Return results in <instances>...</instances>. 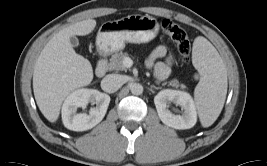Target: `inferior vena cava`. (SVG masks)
<instances>
[{"label": "inferior vena cava", "mask_w": 267, "mask_h": 166, "mask_svg": "<svg viewBox=\"0 0 267 166\" xmlns=\"http://www.w3.org/2000/svg\"><path fill=\"white\" fill-rule=\"evenodd\" d=\"M125 83L124 77L119 74H108L101 81V88L107 93L116 92Z\"/></svg>", "instance_id": "inferior-vena-cava-1"}]
</instances>
